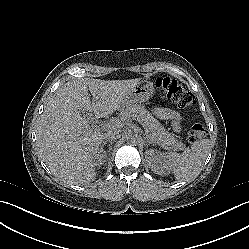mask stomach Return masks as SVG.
<instances>
[{
  "label": "stomach",
  "instance_id": "obj_1",
  "mask_svg": "<svg viewBox=\"0 0 249 249\" xmlns=\"http://www.w3.org/2000/svg\"><path fill=\"white\" fill-rule=\"evenodd\" d=\"M155 93V87L152 82L142 80L134 86L128 96L129 103H141L147 101Z\"/></svg>",
  "mask_w": 249,
  "mask_h": 249
}]
</instances>
